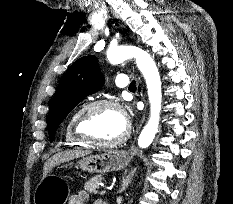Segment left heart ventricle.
<instances>
[{
	"label": "left heart ventricle",
	"instance_id": "obj_1",
	"mask_svg": "<svg viewBox=\"0 0 233 204\" xmlns=\"http://www.w3.org/2000/svg\"><path fill=\"white\" fill-rule=\"evenodd\" d=\"M125 128L123 115L108 107L92 111L83 123L84 133L98 141L115 140L124 133Z\"/></svg>",
	"mask_w": 233,
	"mask_h": 204
}]
</instances>
